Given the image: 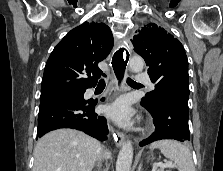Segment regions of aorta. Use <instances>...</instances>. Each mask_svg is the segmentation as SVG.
Instances as JSON below:
<instances>
[{
    "instance_id": "aorta-1",
    "label": "aorta",
    "mask_w": 223,
    "mask_h": 171,
    "mask_svg": "<svg viewBox=\"0 0 223 171\" xmlns=\"http://www.w3.org/2000/svg\"><path fill=\"white\" fill-rule=\"evenodd\" d=\"M130 69L137 73L143 70L144 61L139 56H134L129 60ZM133 159V147L131 141H126L118 154L116 171H130Z\"/></svg>"
}]
</instances>
